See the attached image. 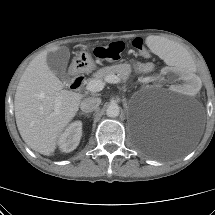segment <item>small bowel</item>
I'll use <instances>...</instances> for the list:
<instances>
[{
	"instance_id": "small-bowel-1",
	"label": "small bowel",
	"mask_w": 215,
	"mask_h": 215,
	"mask_svg": "<svg viewBox=\"0 0 215 215\" xmlns=\"http://www.w3.org/2000/svg\"><path fill=\"white\" fill-rule=\"evenodd\" d=\"M143 68H149V65L148 64H145L144 66H143Z\"/></svg>"
}]
</instances>
